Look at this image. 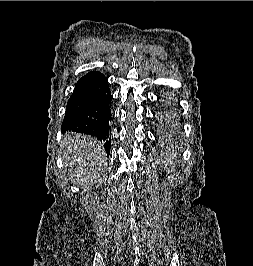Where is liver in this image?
Wrapping results in <instances>:
<instances>
[{"label": "liver", "mask_w": 253, "mask_h": 266, "mask_svg": "<svg viewBox=\"0 0 253 266\" xmlns=\"http://www.w3.org/2000/svg\"><path fill=\"white\" fill-rule=\"evenodd\" d=\"M63 144L67 149L65 161H70L76 166V170L81 172L76 183L84 188L92 186L97 179L101 163L104 162L101 145L94 138L81 134L66 135Z\"/></svg>", "instance_id": "liver-1"}]
</instances>
